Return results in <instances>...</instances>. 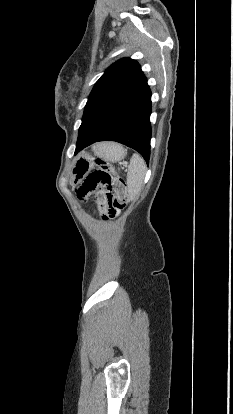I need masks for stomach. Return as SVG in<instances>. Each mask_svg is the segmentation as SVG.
<instances>
[{"label":"stomach","instance_id":"stomach-1","mask_svg":"<svg viewBox=\"0 0 233 414\" xmlns=\"http://www.w3.org/2000/svg\"><path fill=\"white\" fill-rule=\"evenodd\" d=\"M95 154L108 162H117L124 158L126 151L122 146L106 142L96 146ZM94 158L88 154L79 155L75 158L72 168V182L77 183L92 169Z\"/></svg>","mask_w":233,"mask_h":414}]
</instances>
